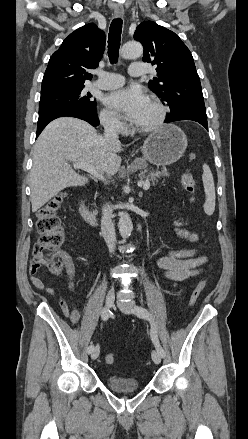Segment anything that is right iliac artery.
<instances>
[{
    "instance_id": "obj_1",
    "label": "right iliac artery",
    "mask_w": 248,
    "mask_h": 439,
    "mask_svg": "<svg viewBox=\"0 0 248 439\" xmlns=\"http://www.w3.org/2000/svg\"><path fill=\"white\" fill-rule=\"evenodd\" d=\"M110 313H111V311H109L108 309H106V308H103V310H102V312H101V318L104 320V321H107L108 319H109V317H110ZM93 349H94V345H90L88 348H87V352L88 353H91L92 351H93Z\"/></svg>"
}]
</instances>
